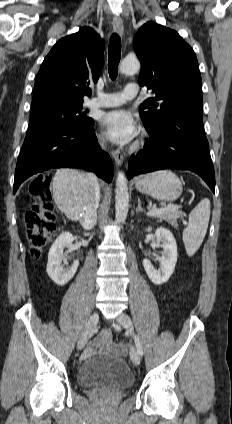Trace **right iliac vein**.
<instances>
[{"mask_svg":"<svg viewBox=\"0 0 232 424\" xmlns=\"http://www.w3.org/2000/svg\"><path fill=\"white\" fill-rule=\"evenodd\" d=\"M98 321H99V315H98L97 312H94L90 316V318H89V320H88V322H87V324H86V326L84 328V331H83V333L81 334V336H80V338L78 340V343H77V349L78 350H81V349L84 348V346L86 345L88 339L94 333L95 328H96V326L98 324Z\"/></svg>","mask_w":232,"mask_h":424,"instance_id":"63e3f726","label":"right iliac vein"}]
</instances>
